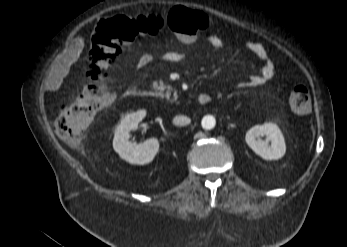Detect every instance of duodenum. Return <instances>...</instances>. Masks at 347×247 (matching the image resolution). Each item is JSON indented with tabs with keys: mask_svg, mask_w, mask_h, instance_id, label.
Listing matches in <instances>:
<instances>
[{
	"mask_svg": "<svg viewBox=\"0 0 347 247\" xmlns=\"http://www.w3.org/2000/svg\"><path fill=\"white\" fill-rule=\"evenodd\" d=\"M127 94L129 96H135V97H147L150 95V91L146 89H139V88L132 87L128 90ZM210 100H211L210 95L206 93L200 94L197 97V102L201 105L209 103Z\"/></svg>",
	"mask_w": 347,
	"mask_h": 247,
	"instance_id": "duodenum-1",
	"label": "duodenum"
}]
</instances>
